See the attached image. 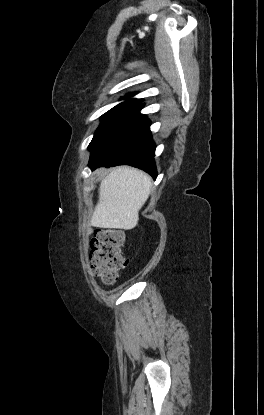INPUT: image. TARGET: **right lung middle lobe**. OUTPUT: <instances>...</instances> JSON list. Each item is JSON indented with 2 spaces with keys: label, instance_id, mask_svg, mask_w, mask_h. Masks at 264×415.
<instances>
[{
  "label": "right lung middle lobe",
  "instance_id": "obj_1",
  "mask_svg": "<svg viewBox=\"0 0 264 415\" xmlns=\"http://www.w3.org/2000/svg\"><path fill=\"white\" fill-rule=\"evenodd\" d=\"M124 99H126L124 97ZM142 104L141 100L133 99V100H126L117 106L113 107L111 110L106 112L102 116V121L98 129L96 130L92 141L89 144V148L95 144L106 132L109 128H111L117 121H119L122 117L128 114L130 111L138 107Z\"/></svg>",
  "mask_w": 264,
  "mask_h": 415
}]
</instances>
